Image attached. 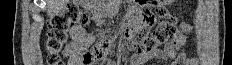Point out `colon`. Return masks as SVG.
<instances>
[{"label": "colon", "mask_w": 232, "mask_h": 65, "mask_svg": "<svg viewBox=\"0 0 232 65\" xmlns=\"http://www.w3.org/2000/svg\"><path fill=\"white\" fill-rule=\"evenodd\" d=\"M148 12V11H144ZM158 24L150 36L142 38L138 51L145 53L157 49L165 44L177 32L175 17L164 6L157 10ZM89 24L88 15L76 5H69L63 12L54 16L50 22L45 49L48 65H63L62 54L64 45L68 39V31L74 26H86ZM114 55L113 39L107 38L95 44L83 54V64L93 65L103 58Z\"/></svg>", "instance_id": "5ec220e1"}]
</instances>
